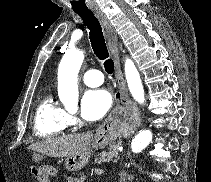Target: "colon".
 <instances>
[{
	"label": "colon",
	"instance_id": "obj_1",
	"mask_svg": "<svg viewBox=\"0 0 211 182\" xmlns=\"http://www.w3.org/2000/svg\"><path fill=\"white\" fill-rule=\"evenodd\" d=\"M32 174L37 180L51 182V179L57 175V172L51 167H32Z\"/></svg>",
	"mask_w": 211,
	"mask_h": 182
}]
</instances>
